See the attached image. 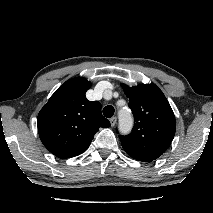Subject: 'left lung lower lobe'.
<instances>
[{
  "label": "left lung lower lobe",
  "instance_id": "1",
  "mask_svg": "<svg viewBox=\"0 0 213 213\" xmlns=\"http://www.w3.org/2000/svg\"><path fill=\"white\" fill-rule=\"evenodd\" d=\"M130 156H131V155H130ZM131 157H133V156H131ZM133 158H135V159H137V160H140V161H143V162H151V160L140 159V158H136V157H133Z\"/></svg>",
  "mask_w": 213,
  "mask_h": 213
}]
</instances>
